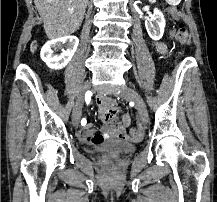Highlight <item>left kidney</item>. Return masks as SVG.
<instances>
[{"label":"left kidney","mask_w":217,"mask_h":202,"mask_svg":"<svg viewBox=\"0 0 217 202\" xmlns=\"http://www.w3.org/2000/svg\"><path fill=\"white\" fill-rule=\"evenodd\" d=\"M153 16L155 24H152V20H145V28L148 32V36L157 42V40H161L164 34L166 20L162 12L157 10V8H155Z\"/></svg>","instance_id":"left-kidney-1"}]
</instances>
